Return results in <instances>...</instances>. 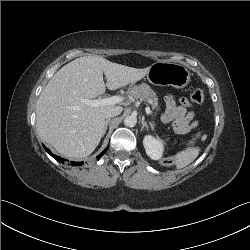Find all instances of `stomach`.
Here are the masks:
<instances>
[{
	"label": "stomach",
	"instance_id": "1",
	"mask_svg": "<svg viewBox=\"0 0 250 250\" xmlns=\"http://www.w3.org/2000/svg\"><path fill=\"white\" fill-rule=\"evenodd\" d=\"M150 83L171 86L176 89L186 87L190 82V72L181 64L172 62H157L150 66L147 73Z\"/></svg>",
	"mask_w": 250,
	"mask_h": 250
}]
</instances>
